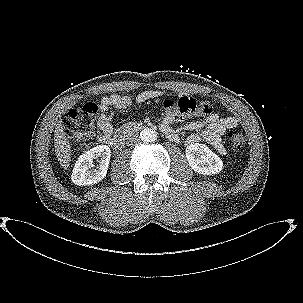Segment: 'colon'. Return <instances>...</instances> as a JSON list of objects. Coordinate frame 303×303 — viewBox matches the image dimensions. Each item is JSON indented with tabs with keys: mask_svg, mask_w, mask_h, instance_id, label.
Wrapping results in <instances>:
<instances>
[{
	"mask_svg": "<svg viewBox=\"0 0 303 303\" xmlns=\"http://www.w3.org/2000/svg\"><path fill=\"white\" fill-rule=\"evenodd\" d=\"M166 109L175 117L184 119L192 116H200L202 102H197L189 96H182L178 99H167L164 103ZM99 108L94 103H86L82 108L71 109L65 116L63 126L69 138L79 148H87L90 145L93 135L94 122ZM228 142L235 152L242 150L245 137L239 130L228 132Z\"/></svg>",
	"mask_w": 303,
	"mask_h": 303,
	"instance_id": "obj_1",
	"label": "colon"
}]
</instances>
